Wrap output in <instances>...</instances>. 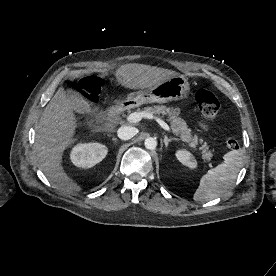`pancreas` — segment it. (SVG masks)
<instances>
[{
    "label": "pancreas",
    "instance_id": "cf45deb5",
    "mask_svg": "<svg viewBox=\"0 0 276 276\" xmlns=\"http://www.w3.org/2000/svg\"><path fill=\"white\" fill-rule=\"evenodd\" d=\"M144 112L150 115H168V121H170L172 132L179 135L181 140L188 143L189 147L197 149V145L202 144L199 150L202 153V158L204 161H209L212 157V152L209 150V145L204 142L202 138L197 135H192L191 129L188 128L186 122L179 116V110L177 108H168L166 106H153L146 107Z\"/></svg>",
    "mask_w": 276,
    "mask_h": 276
}]
</instances>
